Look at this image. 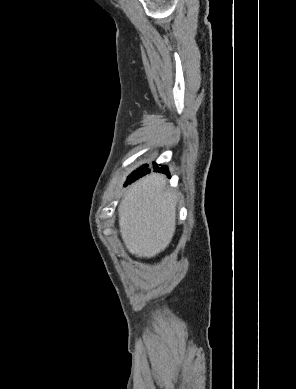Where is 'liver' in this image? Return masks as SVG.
Masks as SVG:
<instances>
[{"label": "liver", "mask_w": 296, "mask_h": 389, "mask_svg": "<svg viewBox=\"0 0 296 389\" xmlns=\"http://www.w3.org/2000/svg\"><path fill=\"white\" fill-rule=\"evenodd\" d=\"M119 227L128 251L151 258L170 244L176 227V196L165 177L150 174L132 184L119 205Z\"/></svg>", "instance_id": "obj_1"}]
</instances>
